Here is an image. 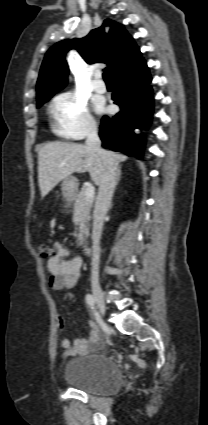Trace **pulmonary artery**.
<instances>
[{
	"label": "pulmonary artery",
	"mask_w": 208,
	"mask_h": 425,
	"mask_svg": "<svg viewBox=\"0 0 208 425\" xmlns=\"http://www.w3.org/2000/svg\"><path fill=\"white\" fill-rule=\"evenodd\" d=\"M93 89H94V91H96L98 93H105L106 90H107V87H106L105 83L101 80L99 73H97L95 75V80L93 82Z\"/></svg>",
	"instance_id": "pulmonary-artery-1"
}]
</instances>
